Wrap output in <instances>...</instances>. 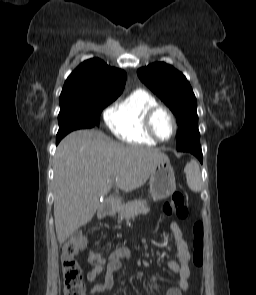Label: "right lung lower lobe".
Segmentation results:
<instances>
[{
  "instance_id": "1",
  "label": "right lung lower lobe",
  "mask_w": 256,
  "mask_h": 295,
  "mask_svg": "<svg viewBox=\"0 0 256 295\" xmlns=\"http://www.w3.org/2000/svg\"><path fill=\"white\" fill-rule=\"evenodd\" d=\"M86 124L88 125V128L94 127V125H93V123H92V121H91L90 118H87L86 119ZM63 137L64 136L56 137V144H58Z\"/></svg>"
}]
</instances>
